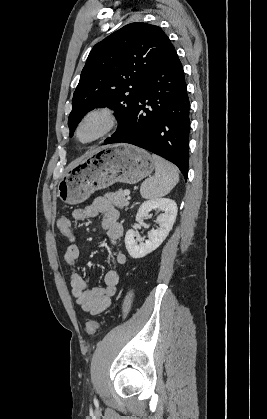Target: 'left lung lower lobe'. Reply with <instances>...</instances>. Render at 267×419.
I'll list each match as a JSON object with an SVG mask.
<instances>
[{"mask_svg":"<svg viewBox=\"0 0 267 419\" xmlns=\"http://www.w3.org/2000/svg\"><path fill=\"white\" fill-rule=\"evenodd\" d=\"M145 83L128 117L104 143L144 148L177 165L187 179L190 102L183 67L172 44Z\"/></svg>","mask_w":267,"mask_h":419,"instance_id":"obj_1","label":"left lung lower lobe"}]
</instances>
